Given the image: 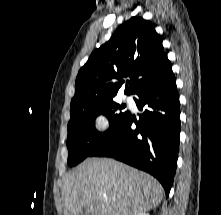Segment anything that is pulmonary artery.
Instances as JSON below:
<instances>
[{
	"instance_id": "e3ab8cb5",
	"label": "pulmonary artery",
	"mask_w": 221,
	"mask_h": 215,
	"mask_svg": "<svg viewBox=\"0 0 221 215\" xmlns=\"http://www.w3.org/2000/svg\"><path fill=\"white\" fill-rule=\"evenodd\" d=\"M126 99H127V101L130 102V103L133 101L131 96H126Z\"/></svg>"
}]
</instances>
